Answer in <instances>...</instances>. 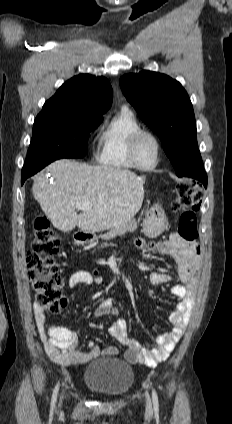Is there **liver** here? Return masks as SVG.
<instances>
[{"label":"liver","mask_w":232,"mask_h":424,"mask_svg":"<svg viewBox=\"0 0 232 424\" xmlns=\"http://www.w3.org/2000/svg\"><path fill=\"white\" fill-rule=\"evenodd\" d=\"M33 184L32 192L41 209L60 231L76 226L83 232L112 229L133 217L144 199L145 177L111 166H91L69 159L51 163ZM90 202L92 207L76 212V203Z\"/></svg>","instance_id":"liver-1"}]
</instances>
